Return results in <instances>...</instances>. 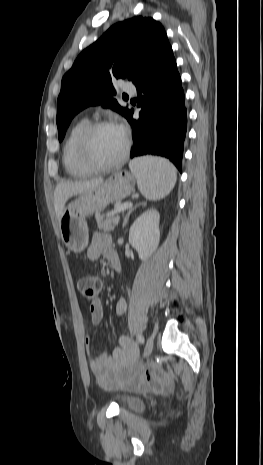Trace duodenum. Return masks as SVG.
Instances as JSON below:
<instances>
[{"mask_svg": "<svg viewBox=\"0 0 263 465\" xmlns=\"http://www.w3.org/2000/svg\"><path fill=\"white\" fill-rule=\"evenodd\" d=\"M109 261L112 265V267L116 270V271H120L121 269V264H120V260H119V257L117 255L116 252H112L109 256Z\"/></svg>", "mask_w": 263, "mask_h": 465, "instance_id": "1", "label": "duodenum"}]
</instances>
